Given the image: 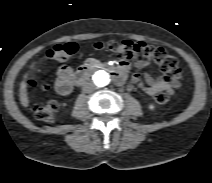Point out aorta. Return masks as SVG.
<instances>
[{
	"mask_svg": "<svg viewBox=\"0 0 212 183\" xmlns=\"http://www.w3.org/2000/svg\"><path fill=\"white\" fill-rule=\"evenodd\" d=\"M90 83H92L95 89H103L110 83V75L106 70H96L90 77Z\"/></svg>",
	"mask_w": 212,
	"mask_h": 183,
	"instance_id": "aorta-1",
	"label": "aorta"
}]
</instances>
